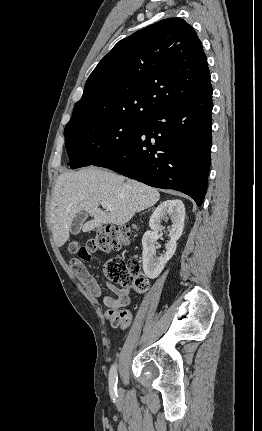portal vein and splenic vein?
I'll list each match as a JSON object with an SVG mask.
<instances>
[{
	"instance_id": "obj_1",
	"label": "portal vein and splenic vein",
	"mask_w": 262,
	"mask_h": 431,
	"mask_svg": "<svg viewBox=\"0 0 262 431\" xmlns=\"http://www.w3.org/2000/svg\"><path fill=\"white\" fill-rule=\"evenodd\" d=\"M101 204H102V207H103L105 210H107V211H111V210H113V207H112L109 203H107V202H102Z\"/></svg>"
}]
</instances>
